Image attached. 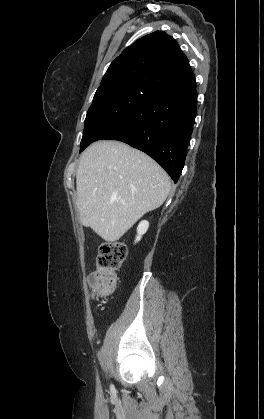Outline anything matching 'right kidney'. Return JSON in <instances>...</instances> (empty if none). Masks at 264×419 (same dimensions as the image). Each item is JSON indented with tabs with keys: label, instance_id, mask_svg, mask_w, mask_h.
<instances>
[{
	"label": "right kidney",
	"instance_id": "1",
	"mask_svg": "<svg viewBox=\"0 0 264 419\" xmlns=\"http://www.w3.org/2000/svg\"><path fill=\"white\" fill-rule=\"evenodd\" d=\"M149 227V222L148 221H141L137 227V236H136V240L135 242H138L141 240L142 235L146 233V231L148 230Z\"/></svg>",
	"mask_w": 264,
	"mask_h": 419
}]
</instances>
